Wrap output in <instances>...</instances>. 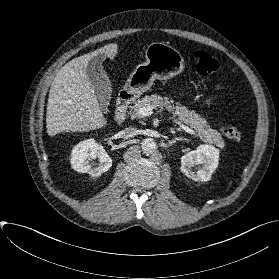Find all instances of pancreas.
<instances>
[{
    "label": "pancreas",
    "instance_id": "obj_1",
    "mask_svg": "<svg viewBox=\"0 0 279 279\" xmlns=\"http://www.w3.org/2000/svg\"><path fill=\"white\" fill-rule=\"evenodd\" d=\"M147 106L154 110L158 108L166 109L168 112L173 113L178 124H186L195 129L198 132V136L204 142L215 144L221 148L224 146V140L221 134L217 130L210 128L205 118L182 106L179 102H175L173 99L167 97L162 98L156 94L146 95L137 100L132 107L134 117L141 118L142 116L138 113L139 108Z\"/></svg>",
    "mask_w": 279,
    "mask_h": 279
}]
</instances>
